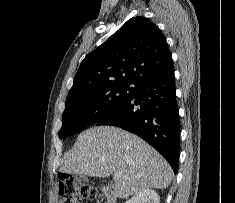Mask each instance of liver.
<instances>
[{
    "label": "liver",
    "instance_id": "liver-1",
    "mask_svg": "<svg viewBox=\"0 0 235 203\" xmlns=\"http://www.w3.org/2000/svg\"><path fill=\"white\" fill-rule=\"evenodd\" d=\"M60 171L94 177L120 172L114 193L128 198L144 189L167 188L173 178L168 162L138 136L120 128L100 126L82 132L65 156Z\"/></svg>",
    "mask_w": 235,
    "mask_h": 203
}]
</instances>
